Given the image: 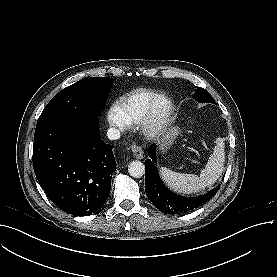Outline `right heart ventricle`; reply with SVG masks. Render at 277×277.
I'll return each instance as SVG.
<instances>
[{"mask_svg":"<svg viewBox=\"0 0 277 277\" xmlns=\"http://www.w3.org/2000/svg\"><path fill=\"white\" fill-rule=\"evenodd\" d=\"M156 93L148 89H137L119 99L115 107L119 110L124 122L133 125L141 122Z\"/></svg>","mask_w":277,"mask_h":277,"instance_id":"e07e8e85","label":"right heart ventricle"}]
</instances>
